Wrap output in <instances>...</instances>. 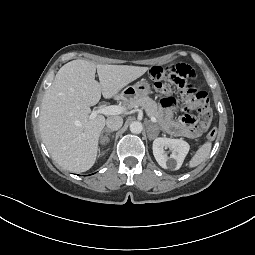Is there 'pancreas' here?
<instances>
[{
  "label": "pancreas",
  "mask_w": 255,
  "mask_h": 255,
  "mask_svg": "<svg viewBox=\"0 0 255 255\" xmlns=\"http://www.w3.org/2000/svg\"><path fill=\"white\" fill-rule=\"evenodd\" d=\"M128 104L132 108L142 107L150 117L154 116L157 119L160 117L157 103L148 96L133 98L129 100Z\"/></svg>",
  "instance_id": "cf45deb5"
}]
</instances>
